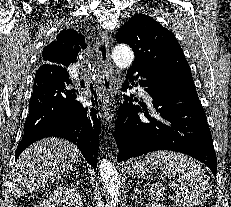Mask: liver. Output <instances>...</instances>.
Masks as SVG:
<instances>
[{
  "mask_svg": "<svg viewBox=\"0 0 231 207\" xmlns=\"http://www.w3.org/2000/svg\"><path fill=\"white\" fill-rule=\"evenodd\" d=\"M80 155L76 145L60 138H45L32 144L15 164L12 194L20 197L54 182Z\"/></svg>",
  "mask_w": 231,
  "mask_h": 207,
  "instance_id": "1",
  "label": "liver"
}]
</instances>
